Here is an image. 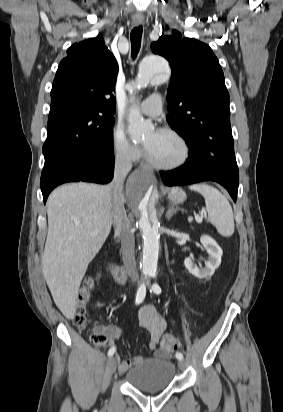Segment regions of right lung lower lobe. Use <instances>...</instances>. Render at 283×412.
Masks as SVG:
<instances>
[{"instance_id":"1","label":"right lung lower lobe","mask_w":283,"mask_h":412,"mask_svg":"<svg viewBox=\"0 0 283 412\" xmlns=\"http://www.w3.org/2000/svg\"><path fill=\"white\" fill-rule=\"evenodd\" d=\"M113 168L114 152L62 151L47 156L40 182L44 203L50 192L65 182L108 183L113 178Z\"/></svg>"}]
</instances>
